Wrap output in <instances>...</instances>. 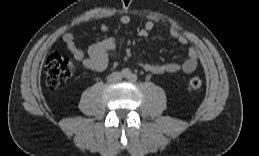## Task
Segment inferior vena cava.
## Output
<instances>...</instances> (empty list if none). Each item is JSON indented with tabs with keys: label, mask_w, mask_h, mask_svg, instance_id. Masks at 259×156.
Segmentation results:
<instances>
[{
	"label": "inferior vena cava",
	"mask_w": 259,
	"mask_h": 156,
	"mask_svg": "<svg viewBox=\"0 0 259 156\" xmlns=\"http://www.w3.org/2000/svg\"><path fill=\"white\" fill-rule=\"evenodd\" d=\"M121 79H122V74L120 72H113L107 78V80L110 81V82H115V81H118V80H121Z\"/></svg>",
	"instance_id": "602c4592"
}]
</instances>
